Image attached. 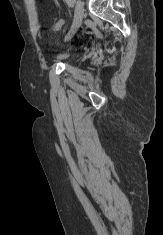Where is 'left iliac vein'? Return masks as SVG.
Masks as SVG:
<instances>
[{"instance_id":"4c4485c4","label":"left iliac vein","mask_w":163,"mask_h":235,"mask_svg":"<svg viewBox=\"0 0 163 235\" xmlns=\"http://www.w3.org/2000/svg\"><path fill=\"white\" fill-rule=\"evenodd\" d=\"M83 16H84L83 3L80 0H77L75 4L74 20L68 34L66 35V40L71 39V37L76 33V31L78 30V28L82 23Z\"/></svg>"}]
</instances>
